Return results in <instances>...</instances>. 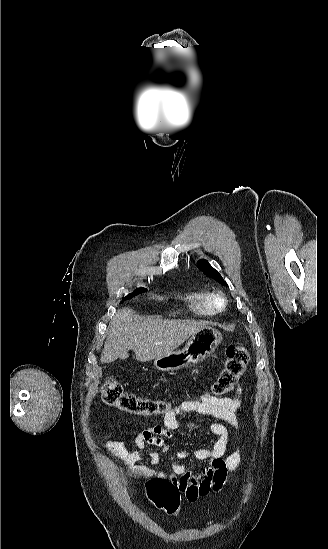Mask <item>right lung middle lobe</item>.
I'll return each instance as SVG.
<instances>
[{
	"instance_id": "dd1d6c3e",
	"label": "right lung middle lobe",
	"mask_w": 328,
	"mask_h": 549,
	"mask_svg": "<svg viewBox=\"0 0 328 549\" xmlns=\"http://www.w3.org/2000/svg\"><path fill=\"white\" fill-rule=\"evenodd\" d=\"M145 291H146L145 288H138V289H136L133 293L127 295V296L123 299V301H124V300H127V299H129V298H131V297H133V296H135V295H137V294H139V293L145 292Z\"/></svg>"
}]
</instances>
